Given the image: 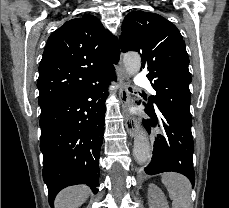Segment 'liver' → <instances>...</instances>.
<instances>
[{"instance_id":"liver-1","label":"liver","mask_w":229,"mask_h":208,"mask_svg":"<svg viewBox=\"0 0 229 208\" xmlns=\"http://www.w3.org/2000/svg\"><path fill=\"white\" fill-rule=\"evenodd\" d=\"M90 196L87 186H70L59 192L54 200V208H79Z\"/></svg>"}]
</instances>
